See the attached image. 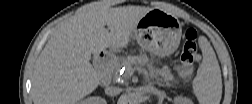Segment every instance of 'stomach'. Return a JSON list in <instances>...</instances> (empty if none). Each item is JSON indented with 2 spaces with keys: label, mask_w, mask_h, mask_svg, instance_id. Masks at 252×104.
I'll use <instances>...</instances> for the list:
<instances>
[{
  "label": "stomach",
  "mask_w": 252,
  "mask_h": 104,
  "mask_svg": "<svg viewBox=\"0 0 252 104\" xmlns=\"http://www.w3.org/2000/svg\"><path fill=\"white\" fill-rule=\"evenodd\" d=\"M182 24L178 18L162 9H152L138 22L131 35L146 51L169 56L179 47Z\"/></svg>",
  "instance_id": "obj_1"
}]
</instances>
